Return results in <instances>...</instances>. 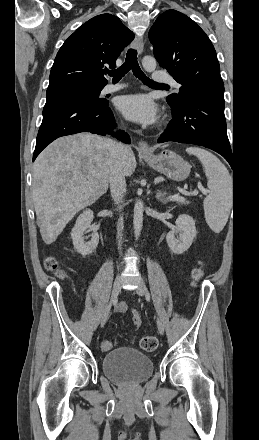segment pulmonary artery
<instances>
[{"label":"pulmonary artery","instance_id":"e3ab8cb5","mask_svg":"<svg viewBox=\"0 0 259 440\" xmlns=\"http://www.w3.org/2000/svg\"><path fill=\"white\" fill-rule=\"evenodd\" d=\"M153 80L156 82H160V83H169V84L173 85L175 88H179V84L169 75H165V74H161V73L156 72L153 74ZM124 87H125L124 84H108L103 89V92L104 93H112V92L118 91Z\"/></svg>","mask_w":259,"mask_h":440}]
</instances>
